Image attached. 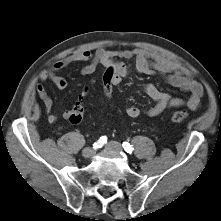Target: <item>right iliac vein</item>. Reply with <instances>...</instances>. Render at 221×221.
Segmentation results:
<instances>
[{
    "label": "right iliac vein",
    "instance_id": "right-iliac-vein-1",
    "mask_svg": "<svg viewBox=\"0 0 221 221\" xmlns=\"http://www.w3.org/2000/svg\"><path fill=\"white\" fill-rule=\"evenodd\" d=\"M95 154V149L94 148H85L82 151V155L84 158H90Z\"/></svg>",
    "mask_w": 221,
    "mask_h": 221
}]
</instances>
